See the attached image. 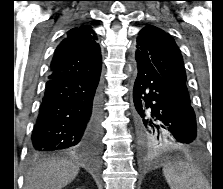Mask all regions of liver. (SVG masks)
Returning <instances> with one entry per match:
<instances>
[{
    "mask_svg": "<svg viewBox=\"0 0 223 189\" xmlns=\"http://www.w3.org/2000/svg\"><path fill=\"white\" fill-rule=\"evenodd\" d=\"M78 172L79 166L70 160H49L27 172L23 189H62L75 179Z\"/></svg>",
    "mask_w": 223,
    "mask_h": 189,
    "instance_id": "6515ba94",
    "label": "liver"
}]
</instances>
